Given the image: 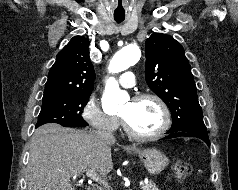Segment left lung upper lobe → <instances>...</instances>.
Segmentation results:
<instances>
[{
    "label": "left lung upper lobe",
    "instance_id": "obj_1",
    "mask_svg": "<svg viewBox=\"0 0 238 190\" xmlns=\"http://www.w3.org/2000/svg\"><path fill=\"white\" fill-rule=\"evenodd\" d=\"M145 55L146 82L171 111L170 131L206 129L182 45L169 35L154 33L146 40Z\"/></svg>",
    "mask_w": 238,
    "mask_h": 190
}]
</instances>
